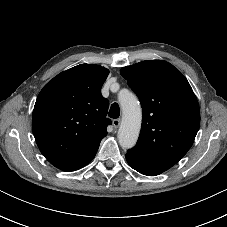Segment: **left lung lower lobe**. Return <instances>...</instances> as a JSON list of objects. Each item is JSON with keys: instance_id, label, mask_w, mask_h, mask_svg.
I'll return each mask as SVG.
<instances>
[{"instance_id": "0a47b994", "label": "left lung lower lobe", "mask_w": 227, "mask_h": 227, "mask_svg": "<svg viewBox=\"0 0 227 227\" xmlns=\"http://www.w3.org/2000/svg\"><path fill=\"white\" fill-rule=\"evenodd\" d=\"M127 162L129 163V165L137 170L138 172H140L141 174H144V175H147V176H155V175H159L161 174L162 172H159V171H155V170H152V169H148V168H145L141 165H138L132 161H129L127 160Z\"/></svg>"}]
</instances>
